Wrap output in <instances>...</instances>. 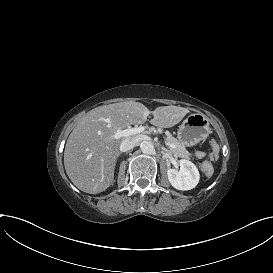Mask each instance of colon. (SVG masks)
<instances>
[{
    "instance_id": "5ec220e1",
    "label": "colon",
    "mask_w": 273,
    "mask_h": 273,
    "mask_svg": "<svg viewBox=\"0 0 273 273\" xmlns=\"http://www.w3.org/2000/svg\"><path fill=\"white\" fill-rule=\"evenodd\" d=\"M217 153H218V148L217 147H214L213 150H212V154H211V158H216L217 156Z\"/></svg>"
}]
</instances>
